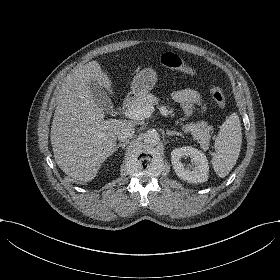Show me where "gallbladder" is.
I'll return each instance as SVG.
<instances>
[{"instance_id":"gallbladder-1","label":"gallbladder","mask_w":280,"mask_h":280,"mask_svg":"<svg viewBox=\"0 0 280 280\" xmlns=\"http://www.w3.org/2000/svg\"><path fill=\"white\" fill-rule=\"evenodd\" d=\"M90 91L97 104L106 112L113 114V103L107 92L99 84H90Z\"/></svg>"}]
</instances>
